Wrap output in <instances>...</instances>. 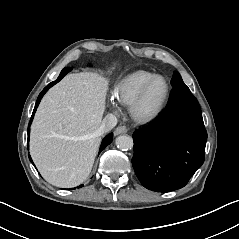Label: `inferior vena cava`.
Returning <instances> with one entry per match:
<instances>
[{
  "label": "inferior vena cava",
  "instance_id": "602c4592",
  "mask_svg": "<svg viewBox=\"0 0 239 239\" xmlns=\"http://www.w3.org/2000/svg\"><path fill=\"white\" fill-rule=\"evenodd\" d=\"M117 124V118L113 114H107L101 122V126L98 130L99 135H102L106 132L112 130Z\"/></svg>",
  "mask_w": 239,
  "mask_h": 239
}]
</instances>
